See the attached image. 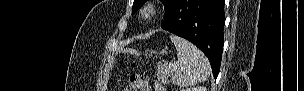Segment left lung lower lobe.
I'll return each mask as SVG.
<instances>
[{"label": "left lung lower lobe", "mask_w": 304, "mask_h": 91, "mask_svg": "<svg viewBox=\"0 0 304 91\" xmlns=\"http://www.w3.org/2000/svg\"><path fill=\"white\" fill-rule=\"evenodd\" d=\"M224 0H177L161 27L187 39L208 57L216 79L222 59Z\"/></svg>", "instance_id": "1"}]
</instances>
